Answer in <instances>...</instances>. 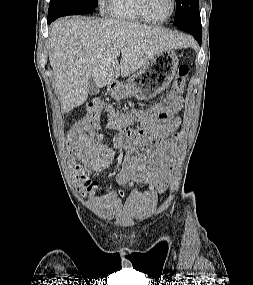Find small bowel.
Listing matches in <instances>:
<instances>
[{
    "mask_svg": "<svg viewBox=\"0 0 253 285\" xmlns=\"http://www.w3.org/2000/svg\"><path fill=\"white\" fill-rule=\"evenodd\" d=\"M183 106V98L175 96L148 111L132 110L141 115L139 128L116 127L114 148L122 154V171L117 180L121 185H145L162 193L166 178L158 176L165 168V156L174 146V136L181 124L176 114ZM108 117L107 113L103 114Z\"/></svg>",
    "mask_w": 253,
    "mask_h": 285,
    "instance_id": "obj_1",
    "label": "small bowel"
}]
</instances>
